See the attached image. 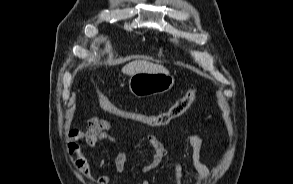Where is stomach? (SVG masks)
I'll list each match as a JSON object with an SVG mask.
<instances>
[{
    "instance_id": "obj_1",
    "label": "stomach",
    "mask_w": 293,
    "mask_h": 184,
    "mask_svg": "<svg viewBox=\"0 0 293 184\" xmlns=\"http://www.w3.org/2000/svg\"><path fill=\"white\" fill-rule=\"evenodd\" d=\"M175 79L167 73L139 72L129 79V91L138 98L168 92L174 85Z\"/></svg>"
}]
</instances>
